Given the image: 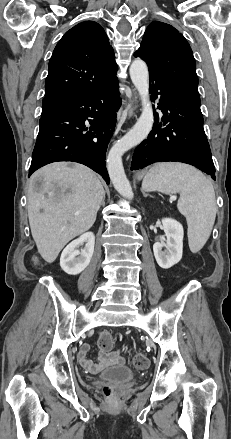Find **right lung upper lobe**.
Listing matches in <instances>:
<instances>
[{"label": "right lung upper lobe", "mask_w": 231, "mask_h": 439, "mask_svg": "<svg viewBox=\"0 0 231 439\" xmlns=\"http://www.w3.org/2000/svg\"><path fill=\"white\" fill-rule=\"evenodd\" d=\"M48 68L41 116L107 87L117 72L112 46L94 21L79 23L65 33Z\"/></svg>", "instance_id": "obj_1"}]
</instances>
